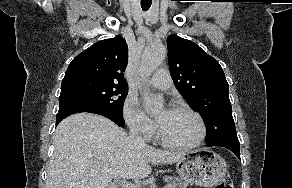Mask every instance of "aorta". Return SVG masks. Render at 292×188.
<instances>
[{
	"instance_id": "obj_1",
	"label": "aorta",
	"mask_w": 292,
	"mask_h": 188,
	"mask_svg": "<svg viewBox=\"0 0 292 188\" xmlns=\"http://www.w3.org/2000/svg\"><path fill=\"white\" fill-rule=\"evenodd\" d=\"M167 55V49L163 44H152L148 46L141 57L139 73L146 81L148 77L161 65ZM145 100L150 105L151 109H157L162 106L163 100L159 97H154L145 88L143 89Z\"/></svg>"
}]
</instances>
